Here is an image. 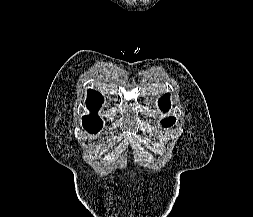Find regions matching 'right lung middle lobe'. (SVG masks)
<instances>
[{
    "instance_id": "dd1d6c3e",
    "label": "right lung middle lobe",
    "mask_w": 253,
    "mask_h": 217,
    "mask_svg": "<svg viewBox=\"0 0 253 217\" xmlns=\"http://www.w3.org/2000/svg\"><path fill=\"white\" fill-rule=\"evenodd\" d=\"M83 127L89 133L95 134L102 128V124H83Z\"/></svg>"
}]
</instances>
